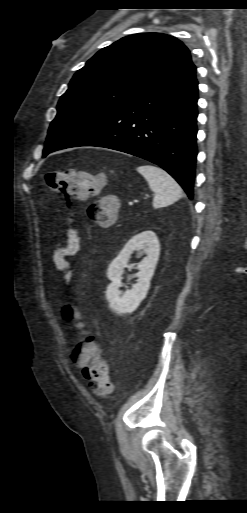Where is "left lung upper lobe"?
<instances>
[{"label":"left lung upper lobe","instance_id":"obj_1","mask_svg":"<svg viewBox=\"0 0 247 513\" xmlns=\"http://www.w3.org/2000/svg\"><path fill=\"white\" fill-rule=\"evenodd\" d=\"M192 62L187 47L161 33L124 37L97 52L61 96L43 157L98 120L168 81Z\"/></svg>","mask_w":247,"mask_h":513}]
</instances>
